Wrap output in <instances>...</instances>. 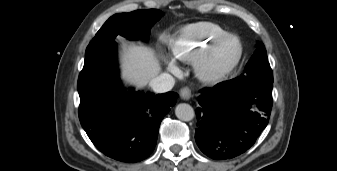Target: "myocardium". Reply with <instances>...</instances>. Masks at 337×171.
I'll return each instance as SVG.
<instances>
[{
    "label": "myocardium",
    "instance_id": "1",
    "mask_svg": "<svg viewBox=\"0 0 337 171\" xmlns=\"http://www.w3.org/2000/svg\"><path fill=\"white\" fill-rule=\"evenodd\" d=\"M227 41H233L237 47L234 59L224 68L215 70L210 66V59L219 46ZM244 54V47L239 36L228 33L211 41L193 61L194 72L199 80L209 84L225 81L238 67Z\"/></svg>",
    "mask_w": 337,
    "mask_h": 171
}]
</instances>
